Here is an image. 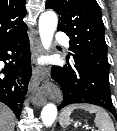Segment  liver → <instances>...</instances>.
I'll use <instances>...</instances> for the list:
<instances>
[{
  "mask_svg": "<svg viewBox=\"0 0 117 131\" xmlns=\"http://www.w3.org/2000/svg\"><path fill=\"white\" fill-rule=\"evenodd\" d=\"M15 116L4 104L0 103V131H14Z\"/></svg>",
  "mask_w": 117,
  "mask_h": 131,
  "instance_id": "liver-1",
  "label": "liver"
}]
</instances>
